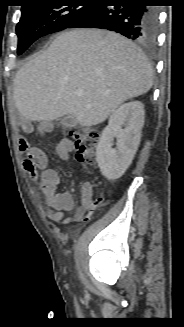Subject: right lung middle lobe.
Wrapping results in <instances>:
<instances>
[{"mask_svg":"<svg viewBox=\"0 0 184 327\" xmlns=\"http://www.w3.org/2000/svg\"><path fill=\"white\" fill-rule=\"evenodd\" d=\"M38 2L21 10L17 24L18 51L22 54L36 39L71 27L83 18L94 6L43 5Z\"/></svg>","mask_w":184,"mask_h":327,"instance_id":"1","label":"right lung middle lobe"}]
</instances>
